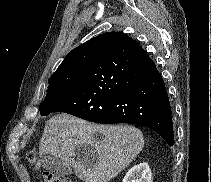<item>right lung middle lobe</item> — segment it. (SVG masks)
<instances>
[{"mask_svg":"<svg viewBox=\"0 0 211 182\" xmlns=\"http://www.w3.org/2000/svg\"><path fill=\"white\" fill-rule=\"evenodd\" d=\"M87 66L86 62L68 66L50 77L46 98L40 103V113L42 116L53 113L56 102L69 97L77 89Z\"/></svg>","mask_w":211,"mask_h":182,"instance_id":"right-lung-middle-lobe-1","label":"right lung middle lobe"}]
</instances>
